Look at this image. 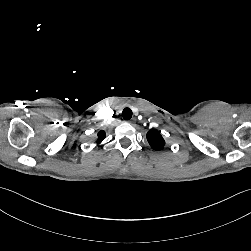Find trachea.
<instances>
[{"mask_svg": "<svg viewBox=\"0 0 251 251\" xmlns=\"http://www.w3.org/2000/svg\"><path fill=\"white\" fill-rule=\"evenodd\" d=\"M122 116L125 120H130L132 118V110L130 108H125L122 112Z\"/></svg>", "mask_w": 251, "mask_h": 251, "instance_id": "obj_1", "label": "trachea"}]
</instances>
